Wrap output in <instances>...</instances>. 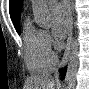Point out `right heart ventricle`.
<instances>
[{
    "label": "right heart ventricle",
    "instance_id": "obj_1",
    "mask_svg": "<svg viewBox=\"0 0 89 89\" xmlns=\"http://www.w3.org/2000/svg\"><path fill=\"white\" fill-rule=\"evenodd\" d=\"M24 62L32 74H48L56 64L55 57L48 53L43 44V31L35 28L26 19L23 30Z\"/></svg>",
    "mask_w": 89,
    "mask_h": 89
}]
</instances>
